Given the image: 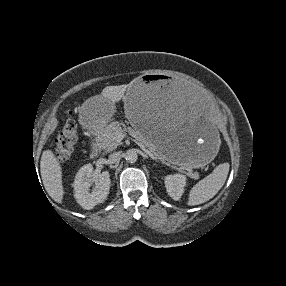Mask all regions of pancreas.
Returning <instances> with one entry per match:
<instances>
[{
  "label": "pancreas",
  "instance_id": "pancreas-1",
  "mask_svg": "<svg viewBox=\"0 0 286 286\" xmlns=\"http://www.w3.org/2000/svg\"><path fill=\"white\" fill-rule=\"evenodd\" d=\"M127 133L138 142L145 145L157 159L161 160L164 164H168V160L156 151L155 146L149 139L141 132L132 129L131 127H127L123 122L115 121L105 126L97 135L95 145L105 152H110L122 144L117 138L118 134L125 135ZM188 176L195 180L199 178L198 173L193 172L192 170H189Z\"/></svg>",
  "mask_w": 286,
  "mask_h": 286
}]
</instances>
